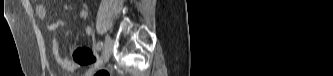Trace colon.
I'll return each instance as SVG.
<instances>
[{
	"label": "colon",
	"instance_id": "5ec220e1",
	"mask_svg": "<svg viewBox=\"0 0 333 76\" xmlns=\"http://www.w3.org/2000/svg\"><path fill=\"white\" fill-rule=\"evenodd\" d=\"M110 75L111 73L106 69H102L96 73V76H110Z\"/></svg>",
	"mask_w": 333,
	"mask_h": 76
}]
</instances>
